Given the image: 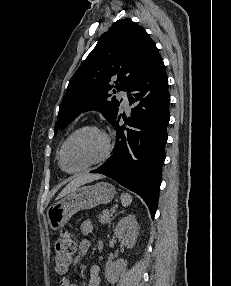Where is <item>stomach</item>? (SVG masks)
<instances>
[{
  "label": "stomach",
  "mask_w": 231,
  "mask_h": 286,
  "mask_svg": "<svg viewBox=\"0 0 231 286\" xmlns=\"http://www.w3.org/2000/svg\"><path fill=\"white\" fill-rule=\"evenodd\" d=\"M115 193V187L107 182L78 187L48 208V224L52 230H58L77 212L111 202Z\"/></svg>",
  "instance_id": "obj_1"
}]
</instances>
